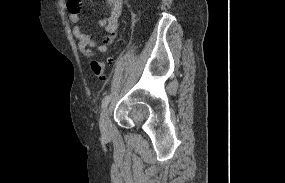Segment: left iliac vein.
I'll return each instance as SVG.
<instances>
[{
    "label": "left iliac vein",
    "instance_id": "1",
    "mask_svg": "<svg viewBox=\"0 0 285 183\" xmlns=\"http://www.w3.org/2000/svg\"><path fill=\"white\" fill-rule=\"evenodd\" d=\"M100 130H101L103 137L108 138L111 136L112 129H111V123H110L109 109L108 108H105L101 113Z\"/></svg>",
    "mask_w": 285,
    "mask_h": 183
}]
</instances>
